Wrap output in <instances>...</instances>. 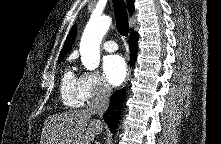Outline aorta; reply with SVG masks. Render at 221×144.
<instances>
[{
  "instance_id": "aorta-1",
  "label": "aorta",
  "mask_w": 221,
  "mask_h": 144,
  "mask_svg": "<svg viewBox=\"0 0 221 144\" xmlns=\"http://www.w3.org/2000/svg\"><path fill=\"white\" fill-rule=\"evenodd\" d=\"M109 16H92L87 23L80 42V55L87 70H95L100 63V43L111 25Z\"/></svg>"
}]
</instances>
